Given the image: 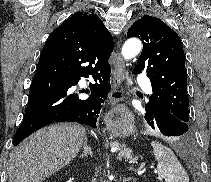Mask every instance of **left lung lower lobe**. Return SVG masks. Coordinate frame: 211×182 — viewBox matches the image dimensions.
I'll use <instances>...</instances> for the list:
<instances>
[{
    "instance_id": "obj_1",
    "label": "left lung lower lobe",
    "mask_w": 211,
    "mask_h": 182,
    "mask_svg": "<svg viewBox=\"0 0 211 182\" xmlns=\"http://www.w3.org/2000/svg\"><path fill=\"white\" fill-rule=\"evenodd\" d=\"M145 119L152 129L160 131L165 136H180L178 141L182 146L188 147L191 144L188 124L171 112L157 109L152 114H148Z\"/></svg>"
}]
</instances>
